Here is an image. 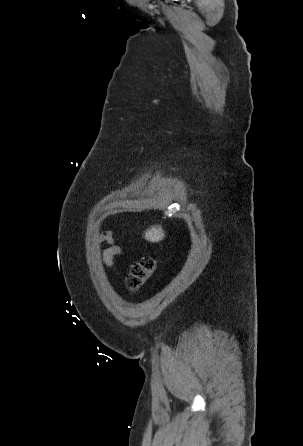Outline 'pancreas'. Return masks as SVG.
I'll use <instances>...</instances> for the list:
<instances>
[{"mask_svg":"<svg viewBox=\"0 0 303 446\" xmlns=\"http://www.w3.org/2000/svg\"><path fill=\"white\" fill-rule=\"evenodd\" d=\"M141 7H142V9H145V10H146V8H145L143 5H141Z\"/></svg>","mask_w":303,"mask_h":446,"instance_id":"pancreas-1","label":"pancreas"}]
</instances>
